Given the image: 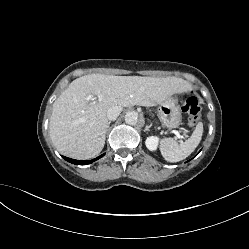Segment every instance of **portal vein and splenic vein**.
<instances>
[{
  "label": "portal vein and splenic vein",
  "instance_id": "portal-vein-and-splenic-vein-1",
  "mask_svg": "<svg viewBox=\"0 0 249 249\" xmlns=\"http://www.w3.org/2000/svg\"><path fill=\"white\" fill-rule=\"evenodd\" d=\"M174 134L176 135L177 139H179L180 141H182V139L186 137L185 135H181L178 131H174Z\"/></svg>",
  "mask_w": 249,
  "mask_h": 249
}]
</instances>
